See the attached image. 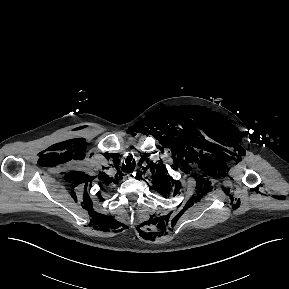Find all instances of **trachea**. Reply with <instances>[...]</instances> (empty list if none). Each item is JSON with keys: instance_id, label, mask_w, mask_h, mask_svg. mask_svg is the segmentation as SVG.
<instances>
[{"instance_id": "3493384b", "label": "trachea", "mask_w": 289, "mask_h": 289, "mask_svg": "<svg viewBox=\"0 0 289 289\" xmlns=\"http://www.w3.org/2000/svg\"><path fill=\"white\" fill-rule=\"evenodd\" d=\"M126 165L123 168L124 172H133L134 168H135V163L134 161L131 162V158L127 157V159L125 160Z\"/></svg>"}]
</instances>
